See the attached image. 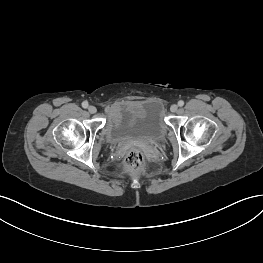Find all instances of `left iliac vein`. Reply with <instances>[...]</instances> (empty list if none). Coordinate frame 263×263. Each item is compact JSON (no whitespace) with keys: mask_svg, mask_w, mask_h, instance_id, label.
I'll return each mask as SVG.
<instances>
[{"mask_svg":"<svg viewBox=\"0 0 263 263\" xmlns=\"http://www.w3.org/2000/svg\"><path fill=\"white\" fill-rule=\"evenodd\" d=\"M170 110L171 112H176L178 110V106L176 104H173L171 107H170Z\"/></svg>","mask_w":263,"mask_h":263,"instance_id":"left-iliac-vein-1","label":"left iliac vein"}]
</instances>
